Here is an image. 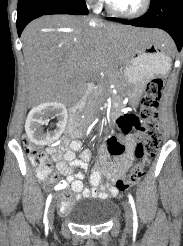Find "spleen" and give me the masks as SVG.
<instances>
[{
    "instance_id": "spleen-1",
    "label": "spleen",
    "mask_w": 183,
    "mask_h": 246,
    "mask_svg": "<svg viewBox=\"0 0 183 246\" xmlns=\"http://www.w3.org/2000/svg\"><path fill=\"white\" fill-rule=\"evenodd\" d=\"M146 61H147V58H146L145 56H139V57L135 60V62H134V64H133V68H134V69H137L138 67L142 66ZM170 67H171V64H170V65L168 66V68H167L168 71H169Z\"/></svg>"
}]
</instances>
